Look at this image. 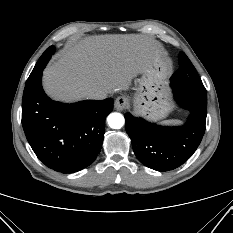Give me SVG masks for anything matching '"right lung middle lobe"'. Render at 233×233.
<instances>
[{"label":"right lung middle lobe","instance_id":"dd1d6c3e","mask_svg":"<svg viewBox=\"0 0 233 233\" xmlns=\"http://www.w3.org/2000/svg\"><path fill=\"white\" fill-rule=\"evenodd\" d=\"M54 50H55V48L53 46H50L43 53V55L40 57V59L38 60L37 64L35 65L33 71L31 72L28 80L32 79L33 77H35L37 75V73L39 72V70L45 67V65L47 64V62L50 59L51 55L54 53ZM45 58H48V60H46V63L43 64Z\"/></svg>","mask_w":233,"mask_h":233}]
</instances>
